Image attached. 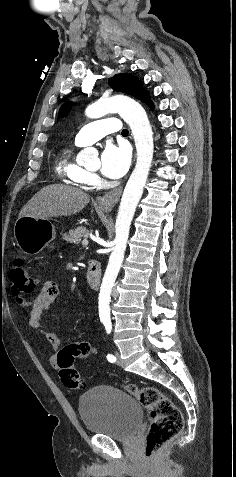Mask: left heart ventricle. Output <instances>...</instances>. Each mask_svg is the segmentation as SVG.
Listing matches in <instances>:
<instances>
[{
  "instance_id": "1",
  "label": "left heart ventricle",
  "mask_w": 236,
  "mask_h": 477,
  "mask_svg": "<svg viewBox=\"0 0 236 477\" xmlns=\"http://www.w3.org/2000/svg\"><path fill=\"white\" fill-rule=\"evenodd\" d=\"M98 164H99V161L96 160L92 168H93V169H96V168L98 167Z\"/></svg>"
}]
</instances>
